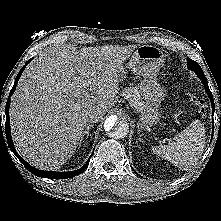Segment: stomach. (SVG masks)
Returning <instances> with one entry per match:
<instances>
[{
	"mask_svg": "<svg viewBox=\"0 0 221 221\" xmlns=\"http://www.w3.org/2000/svg\"><path fill=\"white\" fill-rule=\"evenodd\" d=\"M164 57L159 48L152 45H142L136 49L127 63L126 69L144 78L139 85V91L143 97L140 129L146 125H155L160 119V104L166 96V90L158 83L156 77L164 65ZM125 71L122 66L118 74L120 80L124 79Z\"/></svg>",
	"mask_w": 221,
	"mask_h": 221,
	"instance_id": "1",
	"label": "stomach"
}]
</instances>
